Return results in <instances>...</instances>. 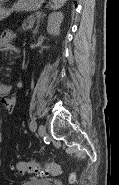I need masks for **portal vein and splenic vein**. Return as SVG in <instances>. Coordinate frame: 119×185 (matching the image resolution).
Returning <instances> with one entry per match:
<instances>
[{
	"mask_svg": "<svg viewBox=\"0 0 119 185\" xmlns=\"http://www.w3.org/2000/svg\"><path fill=\"white\" fill-rule=\"evenodd\" d=\"M40 14H41L40 12H37V13H36L37 16H40Z\"/></svg>",
	"mask_w": 119,
	"mask_h": 185,
	"instance_id": "portal-vein-and-splenic-vein-1",
	"label": "portal vein and splenic vein"
}]
</instances>
